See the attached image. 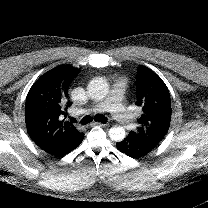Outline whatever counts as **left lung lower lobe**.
Segmentation results:
<instances>
[{"mask_svg": "<svg viewBox=\"0 0 208 208\" xmlns=\"http://www.w3.org/2000/svg\"><path fill=\"white\" fill-rule=\"evenodd\" d=\"M117 148L130 157H141L152 151L157 145H151L146 142L133 139L127 136L121 142L116 143Z\"/></svg>", "mask_w": 208, "mask_h": 208, "instance_id": "0a47b994", "label": "left lung lower lobe"}]
</instances>
